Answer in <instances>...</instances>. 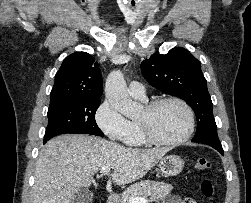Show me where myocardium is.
<instances>
[{
	"mask_svg": "<svg viewBox=\"0 0 251 203\" xmlns=\"http://www.w3.org/2000/svg\"><path fill=\"white\" fill-rule=\"evenodd\" d=\"M170 102L177 103L184 108V110L186 111L188 115L189 125H188L187 131L180 138L174 139V140H165L156 136V134L152 130L150 119L153 113L161 105L170 103ZM144 110H145V117L141 120H138V124H139L141 133L145 141L149 144L158 145V146H177L188 141L191 138L192 134L194 133L195 126H196L195 113L192 107L182 98H179L176 96H168V97L155 99L151 101L150 103H148L145 106Z\"/></svg>",
	"mask_w": 251,
	"mask_h": 203,
	"instance_id": "myocardium-1",
	"label": "myocardium"
}]
</instances>
